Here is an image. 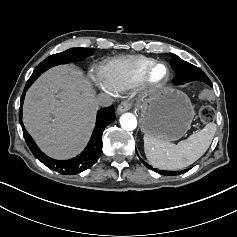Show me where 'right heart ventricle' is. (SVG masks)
Wrapping results in <instances>:
<instances>
[{
  "label": "right heart ventricle",
  "instance_id": "1",
  "mask_svg": "<svg viewBox=\"0 0 237 237\" xmlns=\"http://www.w3.org/2000/svg\"><path fill=\"white\" fill-rule=\"evenodd\" d=\"M152 60L143 56H128L106 61L102 67V74L118 91L128 90L140 82L145 69Z\"/></svg>",
  "mask_w": 237,
  "mask_h": 237
}]
</instances>
